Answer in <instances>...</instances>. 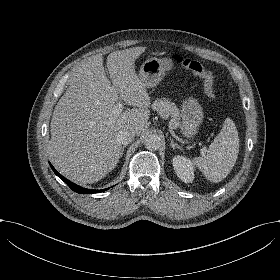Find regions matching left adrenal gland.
Segmentation results:
<instances>
[{"label": "left adrenal gland", "mask_w": 280, "mask_h": 280, "mask_svg": "<svg viewBox=\"0 0 280 280\" xmlns=\"http://www.w3.org/2000/svg\"><path fill=\"white\" fill-rule=\"evenodd\" d=\"M170 140H171L170 146H171L173 149L177 148V149H180L181 151H183V148H182L180 145H178L177 143H174V140H173V139H170Z\"/></svg>", "instance_id": "1"}]
</instances>
